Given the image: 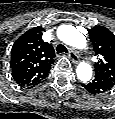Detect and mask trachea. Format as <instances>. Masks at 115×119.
<instances>
[{"mask_svg": "<svg viewBox=\"0 0 115 119\" xmlns=\"http://www.w3.org/2000/svg\"><path fill=\"white\" fill-rule=\"evenodd\" d=\"M56 51H57V54L67 53L68 52L67 48L62 44L57 45Z\"/></svg>", "mask_w": 115, "mask_h": 119, "instance_id": "trachea-1", "label": "trachea"}]
</instances>
